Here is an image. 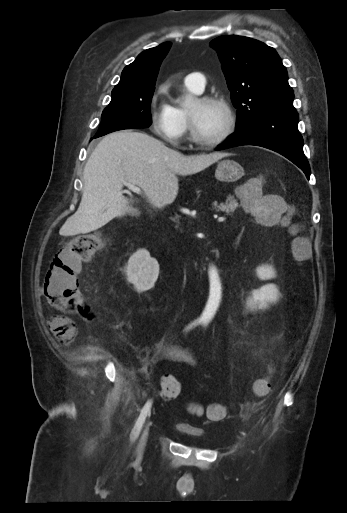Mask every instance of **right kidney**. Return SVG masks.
I'll list each match as a JSON object with an SVG mask.
<instances>
[{
  "mask_svg": "<svg viewBox=\"0 0 347 513\" xmlns=\"http://www.w3.org/2000/svg\"><path fill=\"white\" fill-rule=\"evenodd\" d=\"M125 273L134 288L138 292H144L154 287L159 275V264L147 250L140 249L130 257Z\"/></svg>",
  "mask_w": 347,
  "mask_h": 513,
  "instance_id": "ca27d5eb",
  "label": "right kidney"
}]
</instances>
